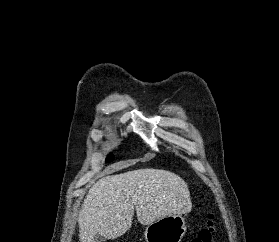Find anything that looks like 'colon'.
I'll list each match as a JSON object with an SVG mask.
<instances>
[{"label": "colon", "instance_id": "5ec220e1", "mask_svg": "<svg viewBox=\"0 0 279 242\" xmlns=\"http://www.w3.org/2000/svg\"><path fill=\"white\" fill-rule=\"evenodd\" d=\"M213 216H208L207 224L204 228L201 229L199 234L194 237L191 242H213L214 238V225H213Z\"/></svg>", "mask_w": 279, "mask_h": 242}]
</instances>
